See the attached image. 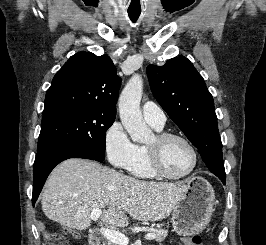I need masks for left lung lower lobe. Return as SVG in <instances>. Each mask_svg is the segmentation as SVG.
<instances>
[{
    "instance_id": "left-lung-lower-lobe-1",
    "label": "left lung lower lobe",
    "mask_w": 266,
    "mask_h": 245,
    "mask_svg": "<svg viewBox=\"0 0 266 245\" xmlns=\"http://www.w3.org/2000/svg\"><path fill=\"white\" fill-rule=\"evenodd\" d=\"M219 179L223 182V184L226 183V177H219Z\"/></svg>"
}]
</instances>
